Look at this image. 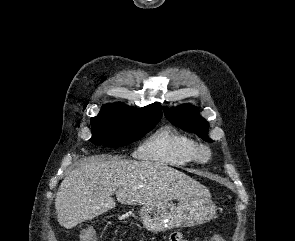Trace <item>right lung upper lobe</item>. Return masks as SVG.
Returning <instances> with one entry per match:
<instances>
[{
	"instance_id": "obj_1",
	"label": "right lung upper lobe",
	"mask_w": 295,
	"mask_h": 241,
	"mask_svg": "<svg viewBox=\"0 0 295 241\" xmlns=\"http://www.w3.org/2000/svg\"><path fill=\"white\" fill-rule=\"evenodd\" d=\"M132 108V107H130ZM138 110H141V111H144L150 115H154V116H157V117H161L162 116V110H161V105L159 103H153V104H150L148 106H145L143 108H140Z\"/></svg>"
}]
</instances>
